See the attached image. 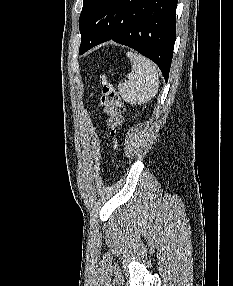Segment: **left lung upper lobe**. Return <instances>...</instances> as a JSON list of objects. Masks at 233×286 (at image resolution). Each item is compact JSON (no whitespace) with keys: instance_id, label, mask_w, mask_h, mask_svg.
Segmentation results:
<instances>
[{"instance_id":"left-lung-upper-lobe-1","label":"left lung upper lobe","mask_w":233,"mask_h":286,"mask_svg":"<svg viewBox=\"0 0 233 286\" xmlns=\"http://www.w3.org/2000/svg\"><path fill=\"white\" fill-rule=\"evenodd\" d=\"M96 0H83V8H82V12L79 18V29L80 32L83 30L86 22H87V18L89 16V13L92 9L93 4L95 3Z\"/></svg>"}]
</instances>
